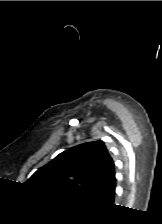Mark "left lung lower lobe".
<instances>
[{
	"label": "left lung lower lobe",
	"instance_id": "obj_1",
	"mask_svg": "<svg viewBox=\"0 0 162 224\" xmlns=\"http://www.w3.org/2000/svg\"><path fill=\"white\" fill-rule=\"evenodd\" d=\"M115 196V172L103 183V185L91 193L86 199L102 204L111 205Z\"/></svg>",
	"mask_w": 162,
	"mask_h": 224
}]
</instances>
